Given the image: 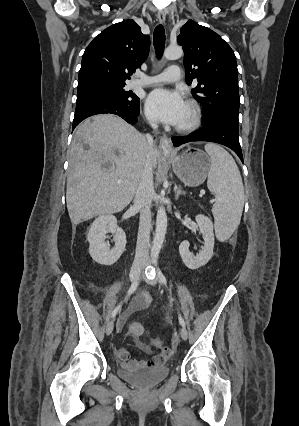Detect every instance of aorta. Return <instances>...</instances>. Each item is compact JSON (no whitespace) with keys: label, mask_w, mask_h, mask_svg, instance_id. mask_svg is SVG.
Segmentation results:
<instances>
[{"label":"aorta","mask_w":299,"mask_h":426,"mask_svg":"<svg viewBox=\"0 0 299 426\" xmlns=\"http://www.w3.org/2000/svg\"><path fill=\"white\" fill-rule=\"evenodd\" d=\"M183 55L182 47L169 46L164 51V57L168 60L179 59ZM167 229V214L165 208L160 206L156 217V230L151 248V260L156 262L163 245Z\"/></svg>","instance_id":"obj_1"}]
</instances>
